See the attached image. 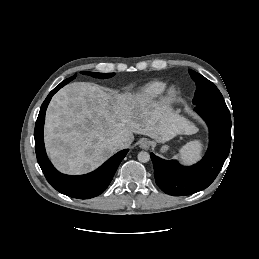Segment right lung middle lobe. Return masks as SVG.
<instances>
[{"label": "right lung middle lobe", "instance_id": "1", "mask_svg": "<svg viewBox=\"0 0 259 259\" xmlns=\"http://www.w3.org/2000/svg\"><path fill=\"white\" fill-rule=\"evenodd\" d=\"M82 74H86V75H90L92 77H95V78H99V79H105V78H110L112 76L115 75V73H97V72H85V71H82L81 72ZM75 75L64 80L63 82H61L62 84L66 85L67 83H69L70 81H72L73 79H75Z\"/></svg>", "mask_w": 259, "mask_h": 259}]
</instances>
